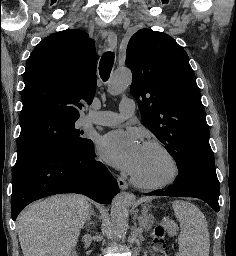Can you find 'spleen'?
Returning a JSON list of instances; mask_svg holds the SVG:
<instances>
[{"mask_svg":"<svg viewBox=\"0 0 236 256\" xmlns=\"http://www.w3.org/2000/svg\"><path fill=\"white\" fill-rule=\"evenodd\" d=\"M172 208L181 228L177 256H209L210 238L204 214L183 200L172 202Z\"/></svg>","mask_w":236,"mask_h":256,"instance_id":"1","label":"spleen"}]
</instances>
